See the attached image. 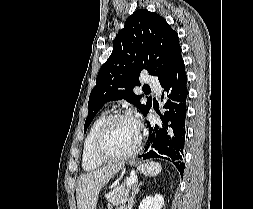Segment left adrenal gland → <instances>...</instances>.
Returning a JSON list of instances; mask_svg holds the SVG:
<instances>
[{
	"instance_id": "1",
	"label": "left adrenal gland",
	"mask_w": 253,
	"mask_h": 209,
	"mask_svg": "<svg viewBox=\"0 0 253 209\" xmlns=\"http://www.w3.org/2000/svg\"><path fill=\"white\" fill-rule=\"evenodd\" d=\"M143 183H135L132 193H131V197L129 198V202H128V208L127 209H132L133 205H134V198L136 196V194H138L139 190H140V186H142Z\"/></svg>"
}]
</instances>
